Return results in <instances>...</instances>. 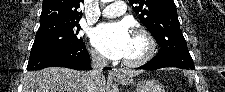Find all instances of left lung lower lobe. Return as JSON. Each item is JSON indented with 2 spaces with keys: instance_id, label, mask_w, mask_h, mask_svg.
Instances as JSON below:
<instances>
[{
  "instance_id": "0a47b994",
  "label": "left lung lower lobe",
  "mask_w": 225,
  "mask_h": 92,
  "mask_svg": "<svg viewBox=\"0 0 225 92\" xmlns=\"http://www.w3.org/2000/svg\"><path fill=\"white\" fill-rule=\"evenodd\" d=\"M164 67H177L181 69H195L190 55L155 56L148 63L138 69L155 70Z\"/></svg>"
}]
</instances>
